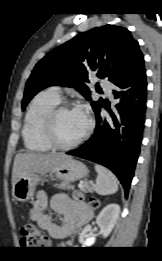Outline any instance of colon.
<instances>
[{
  "mask_svg": "<svg viewBox=\"0 0 162 261\" xmlns=\"http://www.w3.org/2000/svg\"><path fill=\"white\" fill-rule=\"evenodd\" d=\"M77 198H82L77 195ZM90 205L94 208L98 206V201L90 200ZM20 243L24 248H42L47 246V239L38 231L33 223H27L20 230Z\"/></svg>",
  "mask_w": 162,
  "mask_h": 261,
  "instance_id": "obj_1",
  "label": "colon"
}]
</instances>
